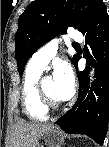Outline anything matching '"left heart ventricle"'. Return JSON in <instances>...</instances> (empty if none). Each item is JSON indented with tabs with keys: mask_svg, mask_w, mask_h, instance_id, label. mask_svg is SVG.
<instances>
[{
	"mask_svg": "<svg viewBox=\"0 0 109 147\" xmlns=\"http://www.w3.org/2000/svg\"><path fill=\"white\" fill-rule=\"evenodd\" d=\"M42 87L44 91L55 101H59L55 94V83L54 79L48 78L45 79L42 83Z\"/></svg>",
	"mask_w": 109,
	"mask_h": 147,
	"instance_id": "b2bd125f",
	"label": "left heart ventricle"
}]
</instances>
